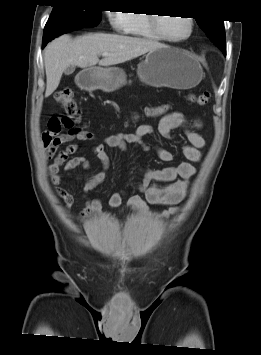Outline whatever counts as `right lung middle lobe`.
I'll return each instance as SVG.
<instances>
[{"instance_id": "obj_1", "label": "right lung middle lobe", "mask_w": 261, "mask_h": 355, "mask_svg": "<svg viewBox=\"0 0 261 355\" xmlns=\"http://www.w3.org/2000/svg\"><path fill=\"white\" fill-rule=\"evenodd\" d=\"M102 10L89 0H67L56 3L44 31L65 25L95 27L101 21Z\"/></svg>"}]
</instances>
